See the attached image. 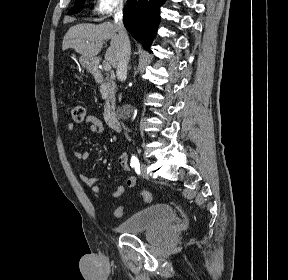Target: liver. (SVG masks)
<instances>
[{
    "instance_id": "6515ba94",
    "label": "liver",
    "mask_w": 288,
    "mask_h": 280,
    "mask_svg": "<svg viewBox=\"0 0 288 280\" xmlns=\"http://www.w3.org/2000/svg\"><path fill=\"white\" fill-rule=\"evenodd\" d=\"M111 40L105 59L113 68L117 67L120 40L115 24L104 22L98 25L77 24L72 26L63 38L62 50L73 48L82 56L94 58L106 40Z\"/></svg>"
}]
</instances>
